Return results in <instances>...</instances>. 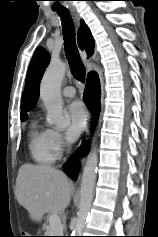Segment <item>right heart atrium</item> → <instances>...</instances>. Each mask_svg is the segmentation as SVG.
I'll return each mask as SVG.
<instances>
[{"label": "right heart atrium", "mask_w": 158, "mask_h": 237, "mask_svg": "<svg viewBox=\"0 0 158 237\" xmlns=\"http://www.w3.org/2000/svg\"><path fill=\"white\" fill-rule=\"evenodd\" d=\"M50 139L53 151L57 156L60 155L65 146L62 134L59 131L50 130Z\"/></svg>", "instance_id": "obj_1"}]
</instances>
